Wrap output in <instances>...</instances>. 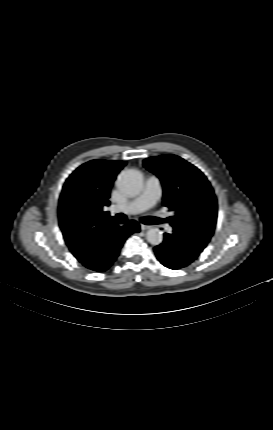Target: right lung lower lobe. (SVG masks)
Instances as JSON below:
<instances>
[{
    "label": "right lung lower lobe",
    "instance_id": "right-lung-lower-lobe-1",
    "mask_svg": "<svg viewBox=\"0 0 273 430\" xmlns=\"http://www.w3.org/2000/svg\"><path fill=\"white\" fill-rule=\"evenodd\" d=\"M139 231V224L133 220L124 226L101 229L91 239L88 254L79 261L91 270L106 271L117 259L126 238Z\"/></svg>",
    "mask_w": 273,
    "mask_h": 430
}]
</instances>
